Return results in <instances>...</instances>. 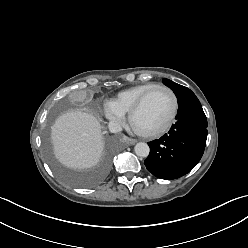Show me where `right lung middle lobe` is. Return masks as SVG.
<instances>
[{
	"label": "right lung middle lobe",
	"instance_id": "right-lung-middle-lobe-1",
	"mask_svg": "<svg viewBox=\"0 0 248 248\" xmlns=\"http://www.w3.org/2000/svg\"><path fill=\"white\" fill-rule=\"evenodd\" d=\"M45 149L50 164L56 174L61 177L64 181L72 185L82 187L91 186L99 182L108 171L112 161V157L114 155V149L110 147L106 151L98 167L89 171L78 172L63 166L59 161L54 158L51 151L50 141L48 138L45 140Z\"/></svg>",
	"mask_w": 248,
	"mask_h": 248
}]
</instances>
